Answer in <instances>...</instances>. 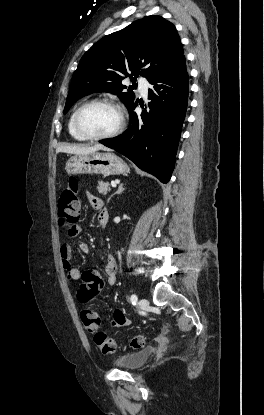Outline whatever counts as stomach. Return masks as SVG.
I'll use <instances>...</instances> for the list:
<instances>
[{
	"label": "stomach",
	"instance_id": "1",
	"mask_svg": "<svg viewBox=\"0 0 264 415\" xmlns=\"http://www.w3.org/2000/svg\"><path fill=\"white\" fill-rule=\"evenodd\" d=\"M69 174L120 175L129 171L126 163L111 152H93L74 155L68 159L65 167Z\"/></svg>",
	"mask_w": 264,
	"mask_h": 415
}]
</instances>
